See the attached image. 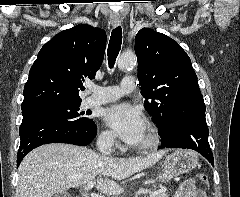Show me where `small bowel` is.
Wrapping results in <instances>:
<instances>
[{"mask_svg": "<svg viewBox=\"0 0 240 197\" xmlns=\"http://www.w3.org/2000/svg\"><path fill=\"white\" fill-rule=\"evenodd\" d=\"M175 197H208V195L205 191L196 189L193 182H186L181 186Z\"/></svg>", "mask_w": 240, "mask_h": 197, "instance_id": "obj_1", "label": "small bowel"}]
</instances>
